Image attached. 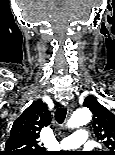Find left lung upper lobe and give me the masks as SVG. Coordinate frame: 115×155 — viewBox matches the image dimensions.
Returning <instances> with one entry per match:
<instances>
[{
    "label": "left lung upper lobe",
    "mask_w": 115,
    "mask_h": 155,
    "mask_svg": "<svg viewBox=\"0 0 115 155\" xmlns=\"http://www.w3.org/2000/svg\"><path fill=\"white\" fill-rule=\"evenodd\" d=\"M83 104L92 111L94 133L107 148L97 155H115V115L92 95L87 96Z\"/></svg>",
    "instance_id": "left-lung-upper-lobe-1"
}]
</instances>
